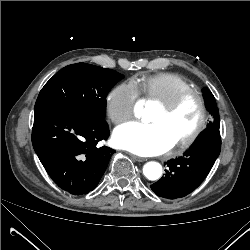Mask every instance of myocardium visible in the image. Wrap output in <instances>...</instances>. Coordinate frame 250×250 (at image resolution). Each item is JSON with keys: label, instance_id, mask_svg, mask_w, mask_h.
I'll return each instance as SVG.
<instances>
[{"label": "myocardium", "instance_id": "obj_1", "mask_svg": "<svg viewBox=\"0 0 250 250\" xmlns=\"http://www.w3.org/2000/svg\"><path fill=\"white\" fill-rule=\"evenodd\" d=\"M189 98H195L199 104V108H200L199 121L196 127L192 130V132L188 134L186 137H184L183 139L174 143L172 148L185 149L189 147L190 145H192L197 140V138L201 135V133L205 129L207 122H208V109H207L206 100L200 91L190 88V89L179 92L178 94H176L174 97H172L170 100L166 102L159 103L163 112L169 115L173 113L185 100Z\"/></svg>", "mask_w": 250, "mask_h": 250}]
</instances>
